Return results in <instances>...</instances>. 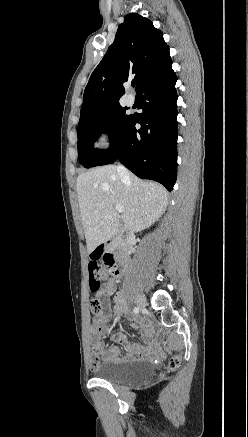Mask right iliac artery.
<instances>
[{"mask_svg":"<svg viewBox=\"0 0 248 437\" xmlns=\"http://www.w3.org/2000/svg\"><path fill=\"white\" fill-rule=\"evenodd\" d=\"M133 311H134V313H138L139 312V308L135 307Z\"/></svg>","mask_w":248,"mask_h":437,"instance_id":"right-iliac-artery-1","label":"right iliac artery"}]
</instances>
